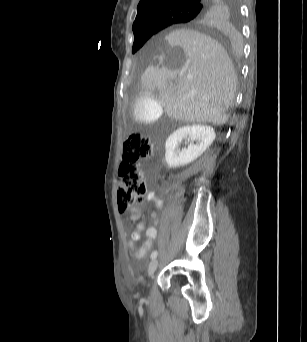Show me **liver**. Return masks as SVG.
<instances>
[{
	"label": "liver",
	"mask_w": 307,
	"mask_h": 342,
	"mask_svg": "<svg viewBox=\"0 0 307 342\" xmlns=\"http://www.w3.org/2000/svg\"><path fill=\"white\" fill-rule=\"evenodd\" d=\"M157 44V56L141 76L142 94L158 88L168 118L223 126L235 98L237 78L227 52L195 30H173ZM192 74V78H187ZM169 80H175L170 86Z\"/></svg>",
	"instance_id": "obj_1"
}]
</instances>
